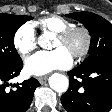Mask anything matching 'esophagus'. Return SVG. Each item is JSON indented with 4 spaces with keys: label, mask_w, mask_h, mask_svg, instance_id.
Wrapping results in <instances>:
<instances>
[{
    "label": "esophagus",
    "mask_w": 112,
    "mask_h": 112,
    "mask_svg": "<svg viewBox=\"0 0 112 112\" xmlns=\"http://www.w3.org/2000/svg\"><path fill=\"white\" fill-rule=\"evenodd\" d=\"M47 80H48V77H47V76L38 77V81H39L41 84H44Z\"/></svg>",
    "instance_id": "1"
}]
</instances>
